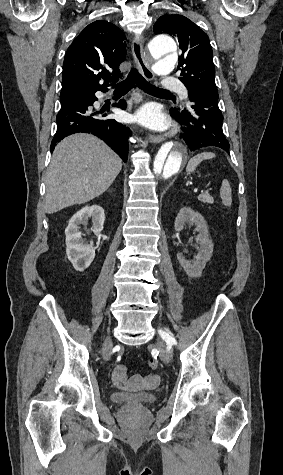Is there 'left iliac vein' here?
I'll return each mask as SVG.
<instances>
[{
    "label": "left iliac vein",
    "instance_id": "4c4485c4",
    "mask_svg": "<svg viewBox=\"0 0 283 475\" xmlns=\"http://www.w3.org/2000/svg\"><path fill=\"white\" fill-rule=\"evenodd\" d=\"M159 333L166 341H168L170 345L174 343L173 338L165 330H163V328L159 329ZM156 347L160 351V357L162 361L170 362L172 355L170 351L166 349L165 345H163L161 341H157Z\"/></svg>",
    "mask_w": 283,
    "mask_h": 475
}]
</instances>
